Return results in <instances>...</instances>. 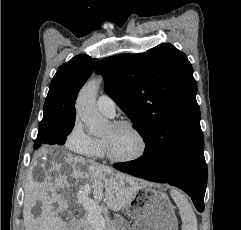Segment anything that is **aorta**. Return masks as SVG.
I'll list each match as a JSON object with an SVG mask.
<instances>
[{
    "label": "aorta",
    "instance_id": "762f6f07",
    "mask_svg": "<svg viewBox=\"0 0 241 230\" xmlns=\"http://www.w3.org/2000/svg\"><path fill=\"white\" fill-rule=\"evenodd\" d=\"M102 79L88 81L80 90L75 108L78 118L87 127L88 133L101 136L106 131L108 120L102 117L96 107L97 91Z\"/></svg>",
    "mask_w": 241,
    "mask_h": 230
}]
</instances>
